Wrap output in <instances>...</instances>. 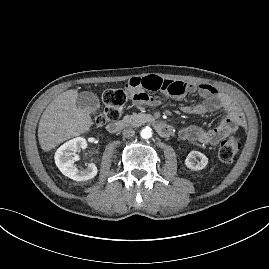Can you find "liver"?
Segmentation results:
<instances>
[{"label":"liver","instance_id":"6515ba94","mask_svg":"<svg viewBox=\"0 0 269 269\" xmlns=\"http://www.w3.org/2000/svg\"><path fill=\"white\" fill-rule=\"evenodd\" d=\"M77 97V90H67L58 95L43 112L38 127V140L45 152L90 130L92 119L89 113L76 106Z\"/></svg>","mask_w":269,"mask_h":269}]
</instances>
